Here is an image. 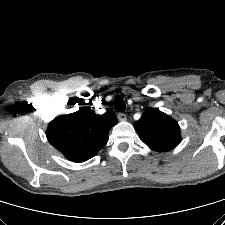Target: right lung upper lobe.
I'll list each match as a JSON object with an SVG mask.
<instances>
[{"label": "right lung upper lobe", "mask_w": 225, "mask_h": 225, "mask_svg": "<svg viewBox=\"0 0 225 225\" xmlns=\"http://www.w3.org/2000/svg\"><path fill=\"white\" fill-rule=\"evenodd\" d=\"M117 118L111 111L97 115L89 108L61 115L49 123V142L72 162H84L107 143L108 132Z\"/></svg>", "instance_id": "cb5924a9"}]
</instances>
